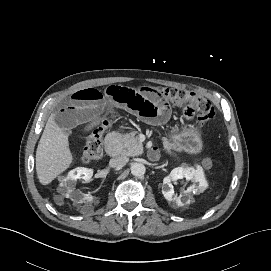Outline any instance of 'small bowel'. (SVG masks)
<instances>
[{"label":"small bowel","mask_w":271,"mask_h":271,"mask_svg":"<svg viewBox=\"0 0 271 271\" xmlns=\"http://www.w3.org/2000/svg\"><path fill=\"white\" fill-rule=\"evenodd\" d=\"M112 108L122 109L154 125L164 124L171 114L159 90L151 87L132 89L111 85L103 91L86 88L74 92L66 105L52 116L48 131L59 132L64 137L71 136L79 126L87 131Z\"/></svg>","instance_id":"small-bowel-1"}]
</instances>
